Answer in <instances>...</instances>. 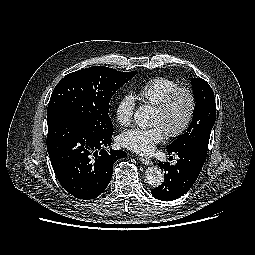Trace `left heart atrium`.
<instances>
[{
	"mask_svg": "<svg viewBox=\"0 0 255 255\" xmlns=\"http://www.w3.org/2000/svg\"><path fill=\"white\" fill-rule=\"evenodd\" d=\"M163 138V128L160 125H155L150 129L132 128L126 130L120 134L119 143L124 148L138 154H149Z\"/></svg>",
	"mask_w": 255,
	"mask_h": 255,
	"instance_id": "obj_1",
	"label": "left heart atrium"
}]
</instances>
